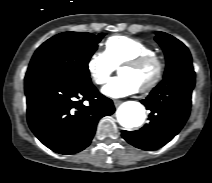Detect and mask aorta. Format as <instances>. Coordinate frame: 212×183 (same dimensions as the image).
<instances>
[{"mask_svg":"<svg viewBox=\"0 0 212 183\" xmlns=\"http://www.w3.org/2000/svg\"><path fill=\"white\" fill-rule=\"evenodd\" d=\"M145 116L144 106L135 101L125 102L117 110L118 122L128 129L141 126Z\"/></svg>","mask_w":212,"mask_h":183,"instance_id":"aorta-1","label":"aorta"}]
</instances>
